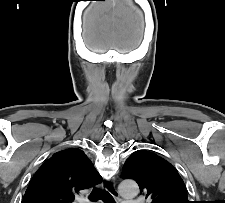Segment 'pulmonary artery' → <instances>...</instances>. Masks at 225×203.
Returning a JSON list of instances; mask_svg holds the SVG:
<instances>
[{
    "mask_svg": "<svg viewBox=\"0 0 225 203\" xmlns=\"http://www.w3.org/2000/svg\"><path fill=\"white\" fill-rule=\"evenodd\" d=\"M123 203H142L140 200H126Z\"/></svg>",
    "mask_w": 225,
    "mask_h": 203,
    "instance_id": "obj_1",
    "label": "pulmonary artery"
}]
</instances>
